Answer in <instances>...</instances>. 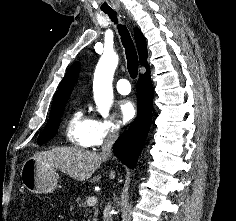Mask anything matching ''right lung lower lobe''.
Instances as JSON below:
<instances>
[{
    "instance_id": "1",
    "label": "right lung lower lobe",
    "mask_w": 236,
    "mask_h": 221,
    "mask_svg": "<svg viewBox=\"0 0 236 221\" xmlns=\"http://www.w3.org/2000/svg\"><path fill=\"white\" fill-rule=\"evenodd\" d=\"M137 96V117L130 128L117 139L113 146L116 156L131 169L134 168L138 160L151 125L153 86L149 70L139 76Z\"/></svg>"
}]
</instances>
